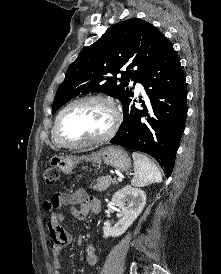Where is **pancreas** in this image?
I'll return each instance as SVG.
<instances>
[{
	"instance_id": "obj_1",
	"label": "pancreas",
	"mask_w": 221,
	"mask_h": 274,
	"mask_svg": "<svg viewBox=\"0 0 221 274\" xmlns=\"http://www.w3.org/2000/svg\"><path fill=\"white\" fill-rule=\"evenodd\" d=\"M117 183L116 179L111 178L110 176H103L96 180L94 185H91V188L96 191L106 190L111 184Z\"/></svg>"
}]
</instances>
